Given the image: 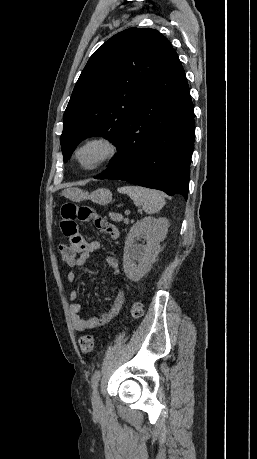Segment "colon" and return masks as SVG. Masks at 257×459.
Instances as JSON below:
<instances>
[{
  "label": "colon",
  "instance_id": "1",
  "mask_svg": "<svg viewBox=\"0 0 257 459\" xmlns=\"http://www.w3.org/2000/svg\"><path fill=\"white\" fill-rule=\"evenodd\" d=\"M69 244L70 243L61 244L59 247V252H60V256L63 262L67 264H72L74 263L76 259V255H75V251H70ZM131 314L135 318H138L141 316L142 305L140 302L133 303L131 307ZM95 345H96V337L93 335H84L79 339V347L83 353L93 352Z\"/></svg>",
  "mask_w": 257,
  "mask_h": 459
}]
</instances>
